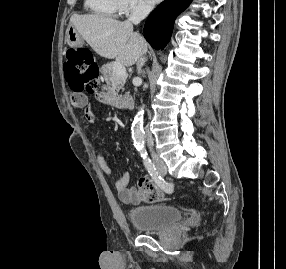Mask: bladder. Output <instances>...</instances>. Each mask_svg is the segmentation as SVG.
<instances>
[{"instance_id":"obj_1","label":"bladder","mask_w":286,"mask_h":269,"mask_svg":"<svg viewBox=\"0 0 286 269\" xmlns=\"http://www.w3.org/2000/svg\"><path fill=\"white\" fill-rule=\"evenodd\" d=\"M182 219L181 210L175 206L151 203L132 208L129 220L133 227L143 232H158Z\"/></svg>"}]
</instances>
